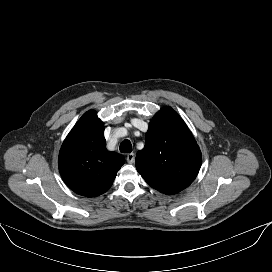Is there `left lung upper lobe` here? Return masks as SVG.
Instances as JSON below:
<instances>
[{
  "label": "left lung upper lobe",
  "mask_w": 272,
  "mask_h": 272,
  "mask_svg": "<svg viewBox=\"0 0 272 272\" xmlns=\"http://www.w3.org/2000/svg\"><path fill=\"white\" fill-rule=\"evenodd\" d=\"M144 149L138 151L136 168L154 189L173 195L196 178L202 156L182 118L170 107L151 120Z\"/></svg>",
  "instance_id": "5c2ea615"
}]
</instances>
